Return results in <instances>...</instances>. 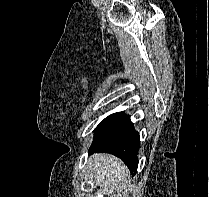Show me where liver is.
Wrapping results in <instances>:
<instances>
[{"label": "liver", "mask_w": 209, "mask_h": 197, "mask_svg": "<svg viewBox=\"0 0 209 197\" xmlns=\"http://www.w3.org/2000/svg\"><path fill=\"white\" fill-rule=\"evenodd\" d=\"M89 162L94 174L96 186L117 189L120 192L125 187L127 169L122 162L110 154H96Z\"/></svg>", "instance_id": "liver-1"}]
</instances>
